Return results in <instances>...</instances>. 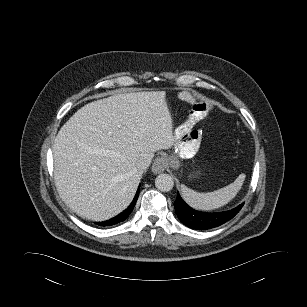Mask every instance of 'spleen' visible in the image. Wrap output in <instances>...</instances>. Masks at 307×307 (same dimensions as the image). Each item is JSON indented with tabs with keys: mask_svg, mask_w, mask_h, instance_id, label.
<instances>
[{
	"mask_svg": "<svg viewBox=\"0 0 307 307\" xmlns=\"http://www.w3.org/2000/svg\"><path fill=\"white\" fill-rule=\"evenodd\" d=\"M245 174H240L238 178L228 186L213 192L199 193L186 186L181 187L183 199L191 207L198 210H213L224 206L232 200L244 182Z\"/></svg>",
	"mask_w": 307,
	"mask_h": 307,
	"instance_id": "obj_1",
	"label": "spleen"
}]
</instances>
